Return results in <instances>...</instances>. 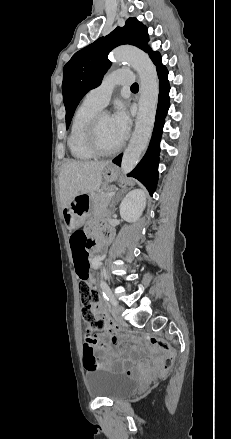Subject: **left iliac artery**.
Instances as JSON below:
<instances>
[{"mask_svg": "<svg viewBox=\"0 0 231 439\" xmlns=\"http://www.w3.org/2000/svg\"><path fill=\"white\" fill-rule=\"evenodd\" d=\"M100 286H101L104 298L107 301H110L112 304H117V301L115 300V298H114L109 286L106 284V282L101 281Z\"/></svg>", "mask_w": 231, "mask_h": 439, "instance_id": "44dca946", "label": "left iliac artery"}]
</instances>
